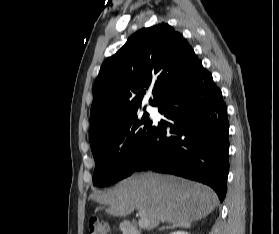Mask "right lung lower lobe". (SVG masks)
Wrapping results in <instances>:
<instances>
[{
    "mask_svg": "<svg viewBox=\"0 0 279 234\" xmlns=\"http://www.w3.org/2000/svg\"><path fill=\"white\" fill-rule=\"evenodd\" d=\"M226 111L220 89L200 62L159 106V112L173 123L155 125L135 171L151 169L205 183L222 202L229 168Z\"/></svg>",
    "mask_w": 279,
    "mask_h": 234,
    "instance_id": "obj_1",
    "label": "right lung lower lobe"
}]
</instances>
